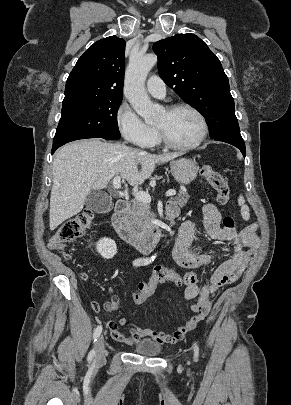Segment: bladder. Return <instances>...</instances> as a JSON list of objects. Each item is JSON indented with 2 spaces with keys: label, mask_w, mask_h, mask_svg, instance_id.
<instances>
[{
  "label": "bladder",
  "mask_w": 291,
  "mask_h": 405,
  "mask_svg": "<svg viewBox=\"0 0 291 405\" xmlns=\"http://www.w3.org/2000/svg\"><path fill=\"white\" fill-rule=\"evenodd\" d=\"M161 349V344L152 339H143L134 346V350L144 356H156Z\"/></svg>",
  "instance_id": "bladder-1"
}]
</instances>
